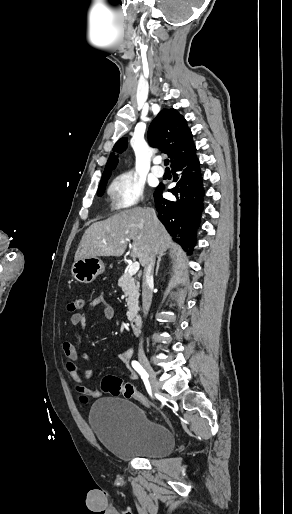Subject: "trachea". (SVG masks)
Instances as JSON below:
<instances>
[{"label": "trachea", "mask_w": 292, "mask_h": 514, "mask_svg": "<svg viewBox=\"0 0 292 514\" xmlns=\"http://www.w3.org/2000/svg\"><path fill=\"white\" fill-rule=\"evenodd\" d=\"M169 164V160L168 159H165L164 160V165L166 166V169L165 170H170L169 167H167V165Z\"/></svg>", "instance_id": "obj_1"}]
</instances>
